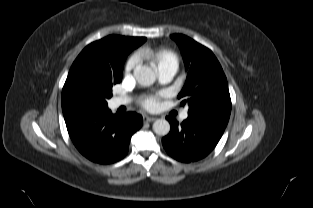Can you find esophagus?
Wrapping results in <instances>:
<instances>
[{
    "mask_svg": "<svg viewBox=\"0 0 313 208\" xmlns=\"http://www.w3.org/2000/svg\"><path fill=\"white\" fill-rule=\"evenodd\" d=\"M144 122H153L156 120V117L144 116Z\"/></svg>",
    "mask_w": 313,
    "mask_h": 208,
    "instance_id": "1",
    "label": "esophagus"
}]
</instances>
